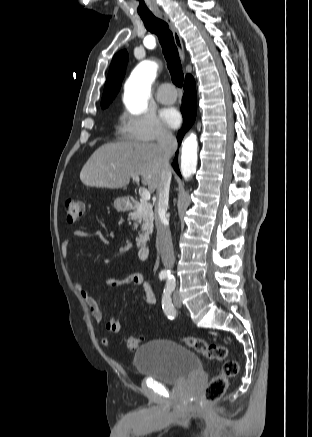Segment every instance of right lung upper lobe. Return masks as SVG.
Segmentation results:
<instances>
[{
	"label": "right lung upper lobe",
	"instance_id": "cb5924a9",
	"mask_svg": "<svg viewBox=\"0 0 312 437\" xmlns=\"http://www.w3.org/2000/svg\"><path fill=\"white\" fill-rule=\"evenodd\" d=\"M128 54L126 50L118 52L112 59L107 80L104 87L101 107L105 108L112 102L113 98L118 93L121 82L125 75L126 62Z\"/></svg>",
	"mask_w": 312,
	"mask_h": 437
}]
</instances>
